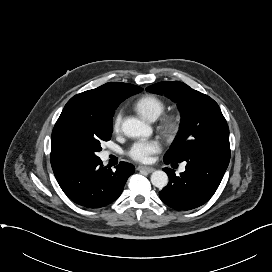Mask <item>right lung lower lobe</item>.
<instances>
[{"mask_svg":"<svg viewBox=\"0 0 272 272\" xmlns=\"http://www.w3.org/2000/svg\"><path fill=\"white\" fill-rule=\"evenodd\" d=\"M112 171L103 167L99 159L75 164L56 176L63 192L75 203L87 208L104 207L116 200L135 167L120 162Z\"/></svg>","mask_w":272,"mask_h":272,"instance_id":"98d812e1","label":"right lung lower lobe"}]
</instances>
